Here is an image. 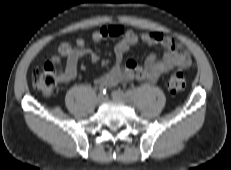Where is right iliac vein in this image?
Segmentation results:
<instances>
[{
	"instance_id": "1",
	"label": "right iliac vein",
	"mask_w": 231,
	"mask_h": 170,
	"mask_svg": "<svg viewBox=\"0 0 231 170\" xmlns=\"http://www.w3.org/2000/svg\"><path fill=\"white\" fill-rule=\"evenodd\" d=\"M105 100V97L102 94H99L97 97V102L102 103Z\"/></svg>"
}]
</instances>
